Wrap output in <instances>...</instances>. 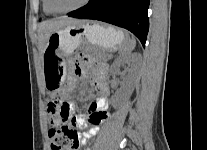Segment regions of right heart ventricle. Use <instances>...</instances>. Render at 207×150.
<instances>
[{
	"mask_svg": "<svg viewBox=\"0 0 207 150\" xmlns=\"http://www.w3.org/2000/svg\"><path fill=\"white\" fill-rule=\"evenodd\" d=\"M42 4H43V11L45 12V14H47V15H53V14H54V13L49 9L46 0H42Z\"/></svg>",
	"mask_w": 207,
	"mask_h": 150,
	"instance_id": "right-heart-ventricle-1",
	"label": "right heart ventricle"
}]
</instances>
